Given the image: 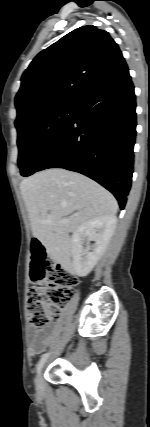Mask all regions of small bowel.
<instances>
[{
  "mask_svg": "<svg viewBox=\"0 0 150 427\" xmlns=\"http://www.w3.org/2000/svg\"><path fill=\"white\" fill-rule=\"evenodd\" d=\"M54 332L53 327L31 328L29 330V346L32 354H40L49 344Z\"/></svg>",
  "mask_w": 150,
  "mask_h": 427,
  "instance_id": "obj_1",
  "label": "small bowel"
}]
</instances>
